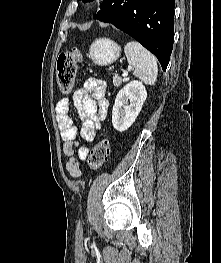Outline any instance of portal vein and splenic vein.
Returning a JSON list of instances; mask_svg holds the SVG:
<instances>
[{
    "mask_svg": "<svg viewBox=\"0 0 221 263\" xmlns=\"http://www.w3.org/2000/svg\"><path fill=\"white\" fill-rule=\"evenodd\" d=\"M128 69H131V67H128ZM127 75H128L127 70H123V74H122V76H123V77H126Z\"/></svg>",
    "mask_w": 221,
    "mask_h": 263,
    "instance_id": "obj_1",
    "label": "portal vein and splenic vein"
}]
</instances>
